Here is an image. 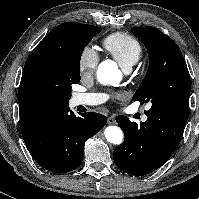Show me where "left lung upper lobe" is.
I'll return each instance as SVG.
<instances>
[{
	"mask_svg": "<svg viewBox=\"0 0 199 199\" xmlns=\"http://www.w3.org/2000/svg\"><path fill=\"white\" fill-rule=\"evenodd\" d=\"M149 56L147 74L133 101L151 102L150 109L166 110L189 117L190 75L177 44L154 27L132 28Z\"/></svg>",
	"mask_w": 199,
	"mask_h": 199,
	"instance_id": "5c2ea615",
	"label": "left lung upper lobe"
}]
</instances>
